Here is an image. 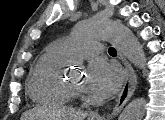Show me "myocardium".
<instances>
[{"mask_svg": "<svg viewBox=\"0 0 165 120\" xmlns=\"http://www.w3.org/2000/svg\"><path fill=\"white\" fill-rule=\"evenodd\" d=\"M67 87L73 96H76V97H84L85 96V90L84 89L76 87V86L72 85L70 82H67Z\"/></svg>", "mask_w": 165, "mask_h": 120, "instance_id": "myocardium-1", "label": "myocardium"}]
</instances>
